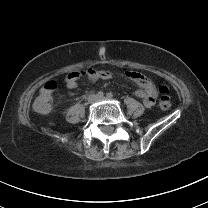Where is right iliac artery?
Wrapping results in <instances>:
<instances>
[{
    "label": "right iliac artery",
    "mask_w": 208,
    "mask_h": 208,
    "mask_svg": "<svg viewBox=\"0 0 208 208\" xmlns=\"http://www.w3.org/2000/svg\"><path fill=\"white\" fill-rule=\"evenodd\" d=\"M97 96L101 98V97L104 96V93H103L102 91H99V92L97 93Z\"/></svg>",
    "instance_id": "obj_1"
}]
</instances>
